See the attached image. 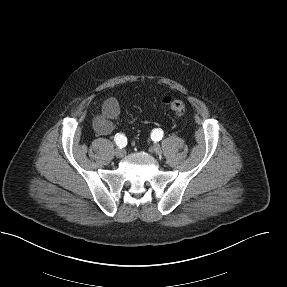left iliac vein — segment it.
<instances>
[{
	"label": "left iliac vein",
	"instance_id": "1",
	"mask_svg": "<svg viewBox=\"0 0 287 287\" xmlns=\"http://www.w3.org/2000/svg\"><path fill=\"white\" fill-rule=\"evenodd\" d=\"M153 150L155 151L156 154H158V155L161 154V149H160V146L158 144H155L153 146Z\"/></svg>",
	"mask_w": 287,
	"mask_h": 287
}]
</instances>
